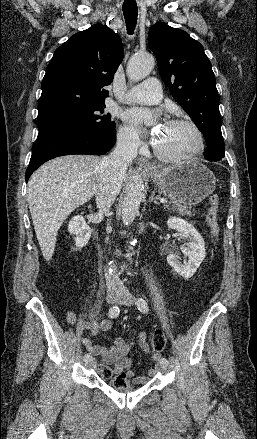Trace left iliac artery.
<instances>
[{
    "instance_id": "obj_1",
    "label": "left iliac artery",
    "mask_w": 257,
    "mask_h": 439,
    "mask_svg": "<svg viewBox=\"0 0 257 439\" xmlns=\"http://www.w3.org/2000/svg\"><path fill=\"white\" fill-rule=\"evenodd\" d=\"M137 307H138V309H139L141 312H143V313L148 312V305H147V302H146L143 298H138V299H137ZM160 363H161V364H164V365H167V364H168V361H167L166 358H162V359L160 360Z\"/></svg>"
}]
</instances>
